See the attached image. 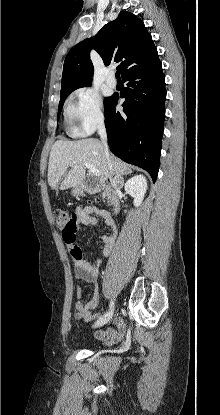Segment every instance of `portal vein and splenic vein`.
<instances>
[{
  "mask_svg": "<svg viewBox=\"0 0 220 415\" xmlns=\"http://www.w3.org/2000/svg\"><path fill=\"white\" fill-rule=\"evenodd\" d=\"M73 163H75V161H73ZM85 166L89 169L91 173H93V175H95L96 177L100 176V171L97 170L93 165H91L90 163H85Z\"/></svg>",
  "mask_w": 220,
  "mask_h": 415,
  "instance_id": "1",
  "label": "portal vein and splenic vein"
}]
</instances>
